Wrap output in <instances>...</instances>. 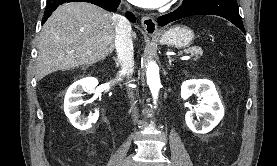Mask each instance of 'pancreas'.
Listing matches in <instances>:
<instances>
[{
    "label": "pancreas",
    "mask_w": 277,
    "mask_h": 166,
    "mask_svg": "<svg viewBox=\"0 0 277 166\" xmlns=\"http://www.w3.org/2000/svg\"><path fill=\"white\" fill-rule=\"evenodd\" d=\"M185 53H191L195 59H198L202 56L203 51L200 47H191L189 49L184 50Z\"/></svg>",
    "instance_id": "cf45deb5"
}]
</instances>
